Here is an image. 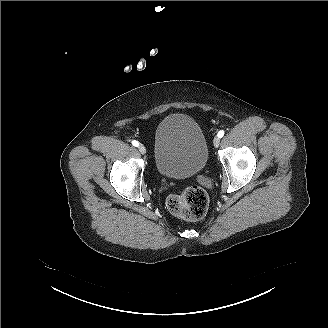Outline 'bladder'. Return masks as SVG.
I'll return each mask as SVG.
<instances>
[{"instance_id": "bladder-1", "label": "bladder", "mask_w": 328, "mask_h": 328, "mask_svg": "<svg viewBox=\"0 0 328 328\" xmlns=\"http://www.w3.org/2000/svg\"><path fill=\"white\" fill-rule=\"evenodd\" d=\"M155 165L166 176H184L199 172L208 154L202 132L192 117L170 115L155 134Z\"/></svg>"}]
</instances>
